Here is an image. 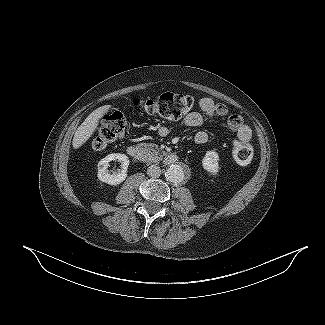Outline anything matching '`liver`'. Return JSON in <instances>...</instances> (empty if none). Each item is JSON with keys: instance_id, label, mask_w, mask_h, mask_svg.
Returning a JSON list of instances; mask_svg holds the SVG:
<instances>
[{"instance_id": "liver-1", "label": "liver", "mask_w": 325, "mask_h": 325, "mask_svg": "<svg viewBox=\"0 0 325 325\" xmlns=\"http://www.w3.org/2000/svg\"><path fill=\"white\" fill-rule=\"evenodd\" d=\"M110 108V105H104L102 107H99L84 120V122L77 128L74 134L72 142L74 149L80 148L84 143L89 140V138L96 131L99 124V120L105 113L108 112Z\"/></svg>"}]
</instances>
